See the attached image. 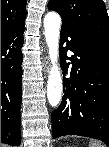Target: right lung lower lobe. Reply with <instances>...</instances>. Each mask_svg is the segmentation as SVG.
<instances>
[{
	"label": "right lung lower lobe",
	"instance_id": "right-lung-lower-lobe-1",
	"mask_svg": "<svg viewBox=\"0 0 109 147\" xmlns=\"http://www.w3.org/2000/svg\"><path fill=\"white\" fill-rule=\"evenodd\" d=\"M25 24L1 35V142L21 143L20 106L23 32Z\"/></svg>",
	"mask_w": 109,
	"mask_h": 147
}]
</instances>
